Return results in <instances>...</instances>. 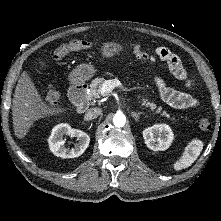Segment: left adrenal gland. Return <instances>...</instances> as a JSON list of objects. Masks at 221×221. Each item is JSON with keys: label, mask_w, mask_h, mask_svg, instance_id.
Returning a JSON list of instances; mask_svg holds the SVG:
<instances>
[{"label": "left adrenal gland", "mask_w": 221, "mask_h": 221, "mask_svg": "<svg viewBox=\"0 0 221 221\" xmlns=\"http://www.w3.org/2000/svg\"><path fill=\"white\" fill-rule=\"evenodd\" d=\"M142 114H143V112H138V113L133 112V111L131 112V115L135 119V121H139L140 115H142Z\"/></svg>", "instance_id": "obj_1"}]
</instances>
